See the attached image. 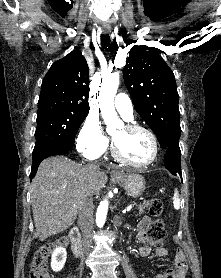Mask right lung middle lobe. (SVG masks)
Here are the masks:
<instances>
[{"mask_svg": "<svg viewBox=\"0 0 221 278\" xmlns=\"http://www.w3.org/2000/svg\"><path fill=\"white\" fill-rule=\"evenodd\" d=\"M87 115L88 112L65 109H38L34 150L55 141L74 144L75 135Z\"/></svg>", "mask_w": 221, "mask_h": 278, "instance_id": "dd1d6c3e", "label": "right lung middle lobe"}]
</instances>
